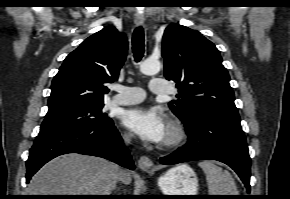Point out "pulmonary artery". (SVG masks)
I'll return each mask as SVG.
<instances>
[{"label": "pulmonary artery", "instance_id": "e3ab8cb5", "mask_svg": "<svg viewBox=\"0 0 290 199\" xmlns=\"http://www.w3.org/2000/svg\"><path fill=\"white\" fill-rule=\"evenodd\" d=\"M150 90L154 94H167L171 92V86L162 79H153L149 83ZM117 94L112 97L113 105H131L143 101L146 94L142 88L114 85L112 88Z\"/></svg>", "mask_w": 290, "mask_h": 199}]
</instances>
